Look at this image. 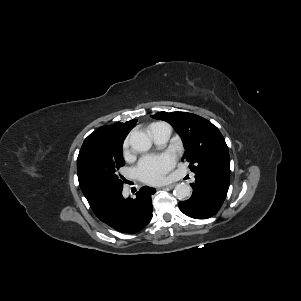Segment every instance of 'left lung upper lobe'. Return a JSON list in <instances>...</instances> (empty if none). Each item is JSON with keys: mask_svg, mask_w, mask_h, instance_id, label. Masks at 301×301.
I'll use <instances>...</instances> for the list:
<instances>
[{"mask_svg": "<svg viewBox=\"0 0 301 301\" xmlns=\"http://www.w3.org/2000/svg\"><path fill=\"white\" fill-rule=\"evenodd\" d=\"M169 122L183 140L182 161L196 174H209L230 180V159L226 142L210 121L187 112H158L151 116Z\"/></svg>", "mask_w": 301, "mask_h": 301, "instance_id": "1", "label": "left lung upper lobe"}]
</instances>
